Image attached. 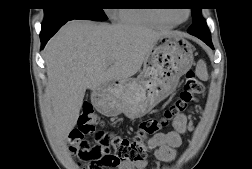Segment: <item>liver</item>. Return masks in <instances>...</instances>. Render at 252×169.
<instances>
[{
  "instance_id": "liver-1",
  "label": "liver",
  "mask_w": 252,
  "mask_h": 169,
  "mask_svg": "<svg viewBox=\"0 0 252 169\" xmlns=\"http://www.w3.org/2000/svg\"><path fill=\"white\" fill-rule=\"evenodd\" d=\"M168 34L178 33L86 20L65 24L44 49L53 136L63 140L75 127L86 89L135 75L155 43Z\"/></svg>"
}]
</instances>
